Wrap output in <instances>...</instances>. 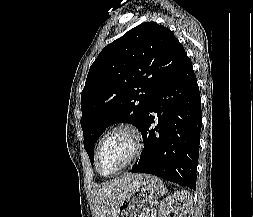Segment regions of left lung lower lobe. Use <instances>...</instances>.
<instances>
[{"label": "left lung lower lobe", "mask_w": 253, "mask_h": 217, "mask_svg": "<svg viewBox=\"0 0 253 217\" xmlns=\"http://www.w3.org/2000/svg\"><path fill=\"white\" fill-rule=\"evenodd\" d=\"M201 125L200 92L192 62L185 55L155 93L141 121L144 151L131 172L153 174L195 189Z\"/></svg>", "instance_id": "1"}]
</instances>
